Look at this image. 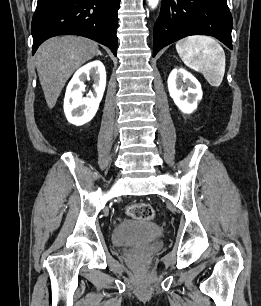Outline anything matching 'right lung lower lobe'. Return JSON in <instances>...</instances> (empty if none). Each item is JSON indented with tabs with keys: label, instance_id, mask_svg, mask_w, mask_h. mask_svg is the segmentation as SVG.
<instances>
[{
	"label": "right lung lower lobe",
	"instance_id": "1",
	"mask_svg": "<svg viewBox=\"0 0 261 306\" xmlns=\"http://www.w3.org/2000/svg\"><path fill=\"white\" fill-rule=\"evenodd\" d=\"M119 5L120 0H38L32 54L50 37L74 34L107 46L116 56Z\"/></svg>",
	"mask_w": 261,
	"mask_h": 306
}]
</instances>
